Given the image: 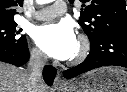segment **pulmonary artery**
<instances>
[{
	"mask_svg": "<svg viewBox=\"0 0 127 92\" xmlns=\"http://www.w3.org/2000/svg\"><path fill=\"white\" fill-rule=\"evenodd\" d=\"M66 12V5L63 1H56L53 5L34 12L33 17L36 20H50L57 15Z\"/></svg>",
	"mask_w": 127,
	"mask_h": 92,
	"instance_id": "e3ab8cb5",
	"label": "pulmonary artery"
}]
</instances>
